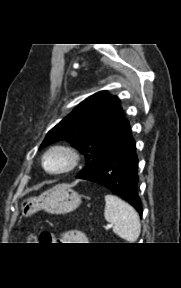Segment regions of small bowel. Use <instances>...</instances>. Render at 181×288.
Listing matches in <instances>:
<instances>
[{
    "label": "small bowel",
    "mask_w": 181,
    "mask_h": 288,
    "mask_svg": "<svg viewBox=\"0 0 181 288\" xmlns=\"http://www.w3.org/2000/svg\"><path fill=\"white\" fill-rule=\"evenodd\" d=\"M48 234V242H63V243H87L88 237L79 230H70L65 233H63L61 236L56 237L50 233Z\"/></svg>",
    "instance_id": "1"
}]
</instances>
